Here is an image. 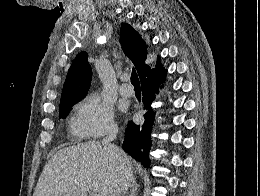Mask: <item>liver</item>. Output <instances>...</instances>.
Returning <instances> with one entry per match:
<instances>
[{"mask_svg": "<svg viewBox=\"0 0 260 196\" xmlns=\"http://www.w3.org/2000/svg\"><path fill=\"white\" fill-rule=\"evenodd\" d=\"M115 154L125 156V164H119ZM131 160L121 148H104L101 142L63 148L44 166L33 196H118L119 184L136 186Z\"/></svg>", "mask_w": 260, "mask_h": 196, "instance_id": "1", "label": "liver"}]
</instances>
